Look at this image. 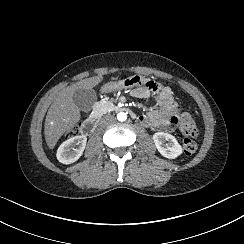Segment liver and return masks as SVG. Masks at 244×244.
<instances>
[{"label":"liver","instance_id":"liver-1","mask_svg":"<svg viewBox=\"0 0 244 244\" xmlns=\"http://www.w3.org/2000/svg\"><path fill=\"white\" fill-rule=\"evenodd\" d=\"M102 79V76L83 79L58 92L45 121V139L50 150H53L62 135L71 131L81 119V110L74 102L75 92L81 89H92Z\"/></svg>","mask_w":244,"mask_h":244}]
</instances>
